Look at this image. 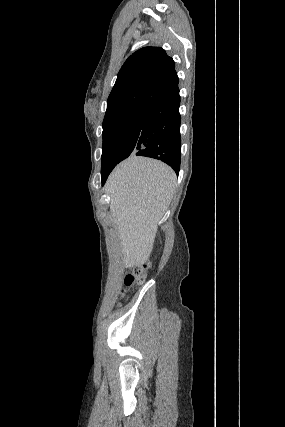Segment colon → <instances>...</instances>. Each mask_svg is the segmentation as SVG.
<instances>
[{"label": "colon", "mask_w": 285, "mask_h": 427, "mask_svg": "<svg viewBox=\"0 0 285 427\" xmlns=\"http://www.w3.org/2000/svg\"><path fill=\"white\" fill-rule=\"evenodd\" d=\"M149 268L147 260H141L130 265L129 272L124 278V285L126 290L134 285L142 284L145 280V274ZM124 291L122 292L123 295Z\"/></svg>", "instance_id": "obj_1"}]
</instances>
